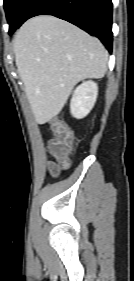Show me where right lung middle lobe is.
Segmentation results:
<instances>
[{"mask_svg": "<svg viewBox=\"0 0 134 281\" xmlns=\"http://www.w3.org/2000/svg\"><path fill=\"white\" fill-rule=\"evenodd\" d=\"M30 0H4V8L9 23V34H12L19 26L23 12Z\"/></svg>", "mask_w": 134, "mask_h": 281, "instance_id": "obj_1", "label": "right lung middle lobe"}]
</instances>
